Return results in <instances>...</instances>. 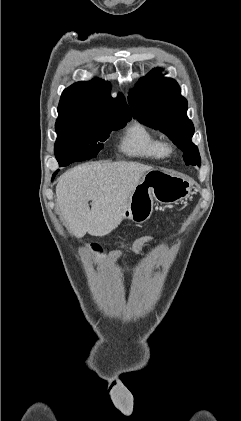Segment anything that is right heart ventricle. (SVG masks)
Listing matches in <instances>:
<instances>
[{"mask_svg": "<svg viewBox=\"0 0 241 421\" xmlns=\"http://www.w3.org/2000/svg\"><path fill=\"white\" fill-rule=\"evenodd\" d=\"M164 146V141L154 131L141 123H135L126 131L120 148L129 156L159 161L166 156Z\"/></svg>", "mask_w": 241, "mask_h": 421, "instance_id": "obj_1", "label": "right heart ventricle"}]
</instances>
